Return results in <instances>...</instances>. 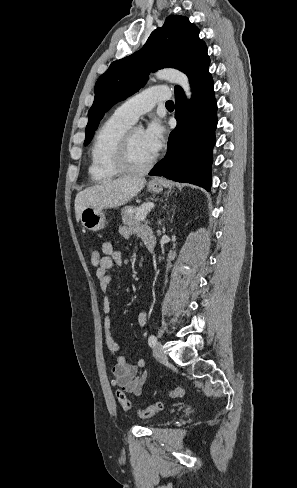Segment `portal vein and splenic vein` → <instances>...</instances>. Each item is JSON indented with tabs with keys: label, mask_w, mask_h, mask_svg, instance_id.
Instances as JSON below:
<instances>
[{
	"label": "portal vein and splenic vein",
	"mask_w": 297,
	"mask_h": 488,
	"mask_svg": "<svg viewBox=\"0 0 297 488\" xmlns=\"http://www.w3.org/2000/svg\"><path fill=\"white\" fill-rule=\"evenodd\" d=\"M154 207L153 203H148L140 207V212L142 213L141 221L146 217V214Z\"/></svg>",
	"instance_id": "18ae733b"
}]
</instances>
